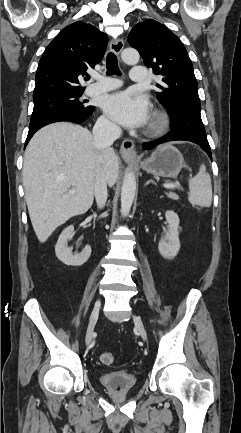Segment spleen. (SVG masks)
Masks as SVG:
<instances>
[{
	"mask_svg": "<svg viewBox=\"0 0 241 433\" xmlns=\"http://www.w3.org/2000/svg\"><path fill=\"white\" fill-rule=\"evenodd\" d=\"M188 201L194 206L210 207L212 203V185L205 165H200L199 172L189 180Z\"/></svg>",
	"mask_w": 241,
	"mask_h": 433,
	"instance_id": "spleen-1",
	"label": "spleen"
}]
</instances>
